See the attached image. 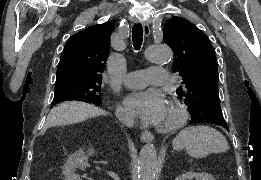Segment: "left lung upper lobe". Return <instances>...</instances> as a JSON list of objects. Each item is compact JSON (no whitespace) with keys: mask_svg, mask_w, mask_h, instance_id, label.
I'll use <instances>...</instances> for the list:
<instances>
[{"mask_svg":"<svg viewBox=\"0 0 261 180\" xmlns=\"http://www.w3.org/2000/svg\"><path fill=\"white\" fill-rule=\"evenodd\" d=\"M163 37L174 52L173 71L180 72L183 86L176 90L193 119L224 120L218 92V67L209 38L195 25L173 17L163 28Z\"/></svg>","mask_w":261,"mask_h":180,"instance_id":"obj_1","label":"left lung upper lobe"}]
</instances>
